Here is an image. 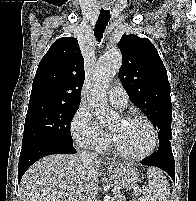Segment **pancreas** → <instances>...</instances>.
Segmentation results:
<instances>
[{"label": "pancreas", "instance_id": "pancreas-1", "mask_svg": "<svg viewBox=\"0 0 196 201\" xmlns=\"http://www.w3.org/2000/svg\"><path fill=\"white\" fill-rule=\"evenodd\" d=\"M115 201H125V198H124V196H120V197L116 198Z\"/></svg>", "mask_w": 196, "mask_h": 201}]
</instances>
